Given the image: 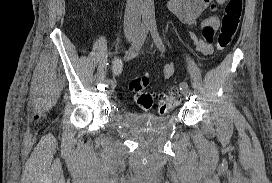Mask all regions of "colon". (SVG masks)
<instances>
[{
  "label": "colon",
  "instance_id": "1",
  "mask_svg": "<svg viewBox=\"0 0 272 183\" xmlns=\"http://www.w3.org/2000/svg\"><path fill=\"white\" fill-rule=\"evenodd\" d=\"M242 10L243 0H228L217 41L219 50H225L233 40L239 26ZM149 83L150 76L148 74H143L132 79L129 85L137 105L144 110L151 109L155 104L153 95L146 90ZM178 103V93L176 90H173L167 96L158 99V111L162 114L167 113Z\"/></svg>",
  "mask_w": 272,
  "mask_h": 183
}]
</instances>
